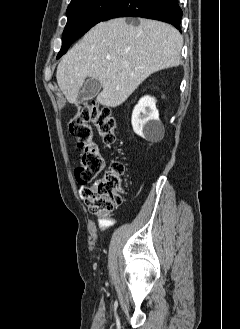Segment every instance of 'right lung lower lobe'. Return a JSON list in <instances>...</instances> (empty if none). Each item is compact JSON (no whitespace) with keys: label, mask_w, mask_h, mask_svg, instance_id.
<instances>
[{"label":"right lung lower lobe","mask_w":240,"mask_h":329,"mask_svg":"<svg viewBox=\"0 0 240 329\" xmlns=\"http://www.w3.org/2000/svg\"><path fill=\"white\" fill-rule=\"evenodd\" d=\"M182 15L178 0H121L101 21L118 17H141L167 22L180 30Z\"/></svg>","instance_id":"right-lung-lower-lobe-1"}]
</instances>
